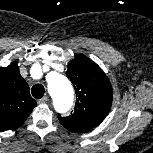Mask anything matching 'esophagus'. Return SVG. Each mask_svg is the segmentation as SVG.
Listing matches in <instances>:
<instances>
[{
    "mask_svg": "<svg viewBox=\"0 0 153 153\" xmlns=\"http://www.w3.org/2000/svg\"><path fill=\"white\" fill-rule=\"evenodd\" d=\"M48 100H49L48 97L45 96V97L41 98L40 100H38V103L39 104H46L48 102Z\"/></svg>",
    "mask_w": 153,
    "mask_h": 153,
    "instance_id": "1",
    "label": "esophagus"
}]
</instances>
